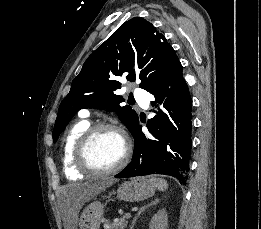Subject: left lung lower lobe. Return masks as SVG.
<instances>
[{"mask_svg": "<svg viewBox=\"0 0 261 229\" xmlns=\"http://www.w3.org/2000/svg\"><path fill=\"white\" fill-rule=\"evenodd\" d=\"M179 62L149 90L155 96L157 115L147 123L151 135L141 130L139 120L132 161L115 178L165 174L178 180L190 171L192 99Z\"/></svg>", "mask_w": 261, "mask_h": 229, "instance_id": "0a47b994", "label": "left lung lower lobe"}]
</instances>
